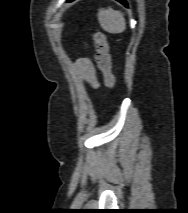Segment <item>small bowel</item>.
Listing matches in <instances>:
<instances>
[{
  "label": "small bowel",
  "mask_w": 188,
  "mask_h": 213,
  "mask_svg": "<svg viewBox=\"0 0 188 213\" xmlns=\"http://www.w3.org/2000/svg\"><path fill=\"white\" fill-rule=\"evenodd\" d=\"M77 67L80 76L88 85L93 88H97L99 86L95 67L89 58H80L77 61Z\"/></svg>",
  "instance_id": "obj_1"
}]
</instances>
